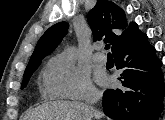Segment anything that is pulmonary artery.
<instances>
[{"mask_svg":"<svg viewBox=\"0 0 165 120\" xmlns=\"http://www.w3.org/2000/svg\"><path fill=\"white\" fill-rule=\"evenodd\" d=\"M100 49V48H99ZM94 61L96 63L99 64H105L107 62V57L104 53H102L101 51H98L95 55H94Z\"/></svg>","mask_w":165,"mask_h":120,"instance_id":"1","label":"pulmonary artery"}]
</instances>
